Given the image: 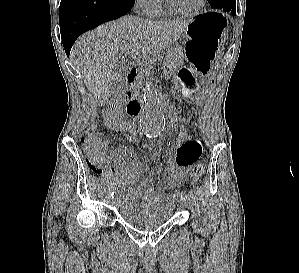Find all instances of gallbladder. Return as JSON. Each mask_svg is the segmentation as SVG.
I'll list each match as a JSON object with an SVG mask.
<instances>
[{
  "mask_svg": "<svg viewBox=\"0 0 299 273\" xmlns=\"http://www.w3.org/2000/svg\"><path fill=\"white\" fill-rule=\"evenodd\" d=\"M130 70V65L120 60L113 70L112 78L109 83L110 97L120 98L124 95L126 89L125 76Z\"/></svg>",
  "mask_w": 299,
  "mask_h": 273,
  "instance_id": "bac80fb5",
  "label": "gallbladder"
}]
</instances>
